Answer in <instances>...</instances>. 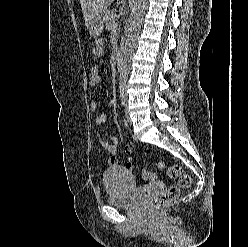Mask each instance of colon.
I'll use <instances>...</instances> for the list:
<instances>
[{"instance_id":"obj_1","label":"colon","mask_w":248,"mask_h":247,"mask_svg":"<svg viewBox=\"0 0 248 247\" xmlns=\"http://www.w3.org/2000/svg\"><path fill=\"white\" fill-rule=\"evenodd\" d=\"M158 166L160 169L165 171L170 179L175 180L177 184L170 185L163 192L154 197L151 201V208L154 210H160L171 203L177 198L180 189L189 187L191 183L190 176L183 171L180 165H165L163 162H160ZM143 177L146 179H152L154 174L151 171L143 170Z\"/></svg>"}]
</instances>
